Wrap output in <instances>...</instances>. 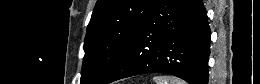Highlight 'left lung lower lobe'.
<instances>
[{"label":"left lung lower lobe","mask_w":260,"mask_h":84,"mask_svg":"<svg viewBox=\"0 0 260 84\" xmlns=\"http://www.w3.org/2000/svg\"><path fill=\"white\" fill-rule=\"evenodd\" d=\"M210 35L202 0H157L102 84L154 72L208 84Z\"/></svg>","instance_id":"obj_1"}]
</instances>
